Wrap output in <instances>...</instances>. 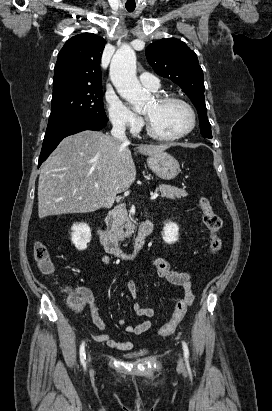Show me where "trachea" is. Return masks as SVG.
Instances as JSON below:
<instances>
[{"instance_id":"3493384b","label":"trachea","mask_w":272,"mask_h":411,"mask_svg":"<svg viewBox=\"0 0 272 411\" xmlns=\"http://www.w3.org/2000/svg\"><path fill=\"white\" fill-rule=\"evenodd\" d=\"M128 12H133L135 10V6H125Z\"/></svg>"}]
</instances>
